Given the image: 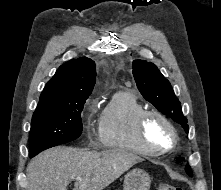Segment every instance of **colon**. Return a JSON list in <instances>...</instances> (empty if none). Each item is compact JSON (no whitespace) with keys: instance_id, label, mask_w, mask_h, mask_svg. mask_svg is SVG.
Returning <instances> with one entry per match:
<instances>
[{"instance_id":"colon-1","label":"colon","mask_w":221,"mask_h":190,"mask_svg":"<svg viewBox=\"0 0 221 190\" xmlns=\"http://www.w3.org/2000/svg\"><path fill=\"white\" fill-rule=\"evenodd\" d=\"M158 190H182L181 188L171 184H160Z\"/></svg>"}]
</instances>
